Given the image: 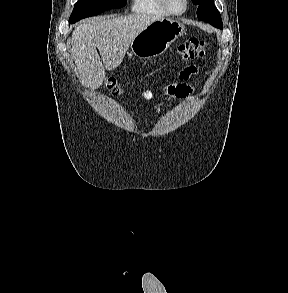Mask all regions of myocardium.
<instances>
[{
  "instance_id": "obj_1",
  "label": "myocardium",
  "mask_w": 288,
  "mask_h": 293,
  "mask_svg": "<svg viewBox=\"0 0 288 293\" xmlns=\"http://www.w3.org/2000/svg\"><path fill=\"white\" fill-rule=\"evenodd\" d=\"M160 4L162 5V7L171 15H174V16H180L182 14H184L186 11H187V8H188V0H184V8L182 11L180 12H176L174 10L171 9V7L169 6L167 0H159Z\"/></svg>"
}]
</instances>
